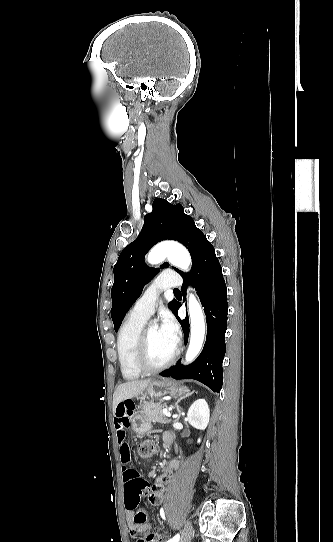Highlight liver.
Listing matches in <instances>:
<instances>
[{
	"label": "liver",
	"instance_id": "liver-1",
	"mask_svg": "<svg viewBox=\"0 0 333 542\" xmlns=\"http://www.w3.org/2000/svg\"><path fill=\"white\" fill-rule=\"evenodd\" d=\"M149 384H151V380H129L125 384H120L113 394V414H115L120 402L129 400V398H137L145 392Z\"/></svg>",
	"mask_w": 333,
	"mask_h": 542
}]
</instances>
